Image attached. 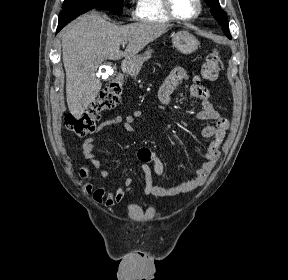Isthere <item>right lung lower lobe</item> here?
Wrapping results in <instances>:
<instances>
[{
    "instance_id": "98d812e1",
    "label": "right lung lower lobe",
    "mask_w": 288,
    "mask_h": 280,
    "mask_svg": "<svg viewBox=\"0 0 288 280\" xmlns=\"http://www.w3.org/2000/svg\"><path fill=\"white\" fill-rule=\"evenodd\" d=\"M89 10L90 9L82 11L80 13L72 14V15L68 16L67 18H65L63 20H59L58 27H57V32H59L67 23H69L70 21H72L73 19L78 17L79 15H81V14H83V13L89 11Z\"/></svg>"
}]
</instances>
